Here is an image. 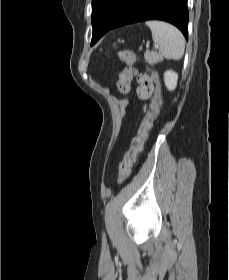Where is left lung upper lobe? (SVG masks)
Listing matches in <instances>:
<instances>
[{
	"instance_id": "5c2ea615",
	"label": "left lung upper lobe",
	"mask_w": 229,
	"mask_h": 280,
	"mask_svg": "<svg viewBox=\"0 0 229 280\" xmlns=\"http://www.w3.org/2000/svg\"><path fill=\"white\" fill-rule=\"evenodd\" d=\"M132 0H92V42L111 30Z\"/></svg>"
}]
</instances>
